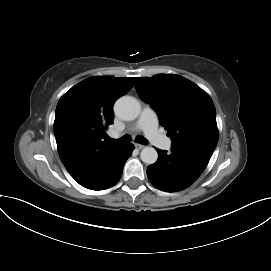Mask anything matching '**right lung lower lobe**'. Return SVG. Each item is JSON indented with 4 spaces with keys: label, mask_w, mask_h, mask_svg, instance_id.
<instances>
[{
    "label": "right lung lower lobe",
    "mask_w": 271,
    "mask_h": 271,
    "mask_svg": "<svg viewBox=\"0 0 271 271\" xmlns=\"http://www.w3.org/2000/svg\"><path fill=\"white\" fill-rule=\"evenodd\" d=\"M133 150L132 144L121 145L95 172L78 183L91 190L112 187L120 180L124 164Z\"/></svg>",
    "instance_id": "right-lung-lower-lobe-1"
}]
</instances>
